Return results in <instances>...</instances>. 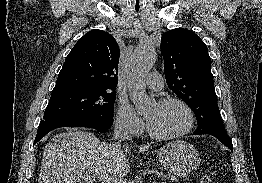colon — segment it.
Masks as SVG:
<instances>
[{
	"mask_svg": "<svg viewBox=\"0 0 262 183\" xmlns=\"http://www.w3.org/2000/svg\"><path fill=\"white\" fill-rule=\"evenodd\" d=\"M199 183H212V179L209 175H203L201 176Z\"/></svg>",
	"mask_w": 262,
	"mask_h": 183,
	"instance_id": "5ec220e1",
	"label": "colon"
}]
</instances>
